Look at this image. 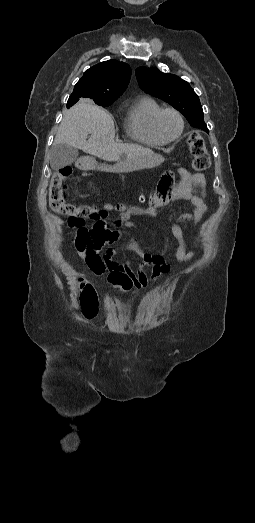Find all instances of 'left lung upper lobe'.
Listing matches in <instances>:
<instances>
[{
    "label": "left lung upper lobe",
    "instance_id": "5c2ea615",
    "mask_svg": "<svg viewBox=\"0 0 255 523\" xmlns=\"http://www.w3.org/2000/svg\"><path fill=\"white\" fill-rule=\"evenodd\" d=\"M136 77L142 90L172 105L185 116L191 126L209 133L199 97L188 82L176 75L147 67L137 68Z\"/></svg>",
    "mask_w": 255,
    "mask_h": 523
}]
</instances>
